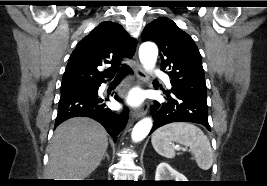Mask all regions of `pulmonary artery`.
Returning a JSON list of instances; mask_svg holds the SVG:
<instances>
[{"mask_svg":"<svg viewBox=\"0 0 267 186\" xmlns=\"http://www.w3.org/2000/svg\"><path fill=\"white\" fill-rule=\"evenodd\" d=\"M157 74L159 75V76H162V77H165L161 72H157ZM167 86H169L170 87V83H169V81L167 80Z\"/></svg>","mask_w":267,"mask_h":186,"instance_id":"1","label":"pulmonary artery"}]
</instances>
